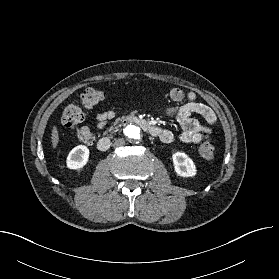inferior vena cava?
<instances>
[{
    "label": "inferior vena cava",
    "mask_w": 279,
    "mask_h": 279,
    "mask_svg": "<svg viewBox=\"0 0 279 279\" xmlns=\"http://www.w3.org/2000/svg\"><path fill=\"white\" fill-rule=\"evenodd\" d=\"M125 144V141H124V139L123 138H119V139H117V140H115V142H114V146L115 147H119V146H122V145H124Z\"/></svg>",
    "instance_id": "obj_1"
}]
</instances>
